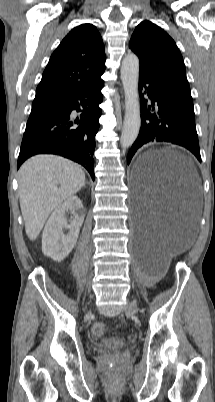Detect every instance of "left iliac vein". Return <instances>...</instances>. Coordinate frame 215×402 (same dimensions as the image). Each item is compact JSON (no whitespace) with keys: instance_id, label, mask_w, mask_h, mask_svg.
<instances>
[{"instance_id":"4c4485c4","label":"left iliac vein","mask_w":215,"mask_h":402,"mask_svg":"<svg viewBox=\"0 0 215 402\" xmlns=\"http://www.w3.org/2000/svg\"><path fill=\"white\" fill-rule=\"evenodd\" d=\"M128 313H136L139 311L138 306L135 302H129L125 308Z\"/></svg>"}]
</instances>
